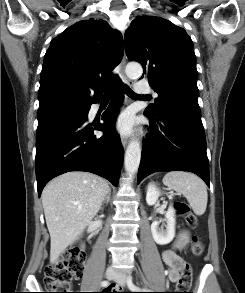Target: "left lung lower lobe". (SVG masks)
<instances>
[{
	"instance_id": "obj_1",
	"label": "left lung lower lobe",
	"mask_w": 245,
	"mask_h": 293,
	"mask_svg": "<svg viewBox=\"0 0 245 293\" xmlns=\"http://www.w3.org/2000/svg\"><path fill=\"white\" fill-rule=\"evenodd\" d=\"M154 123L143 146L137 182L154 172L189 171L209 186V162L200 114L166 107L157 115L145 111Z\"/></svg>"
}]
</instances>
